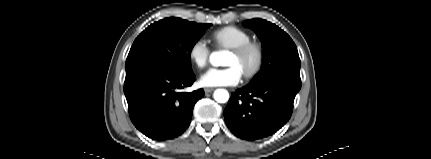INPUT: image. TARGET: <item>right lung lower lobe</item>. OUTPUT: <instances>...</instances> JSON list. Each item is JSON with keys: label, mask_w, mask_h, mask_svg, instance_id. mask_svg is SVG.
<instances>
[{"label": "right lung lower lobe", "mask_w": 431, "mask_h": 159, "mask_svg": "<svg viewBox=\"0 0 431 159\" xmlns=\"http://www.w3.org/2000/svg\"><path fill=\"white\" fill-rule=\"evenodd\" d=\"M195 75L151 64L126 73L124 93L135 127L147 137L165 141L180 136L189 126L193 108L203 89L179 92L191 86Z\"/></svg>", "instance_id": "right-lung-lower-lobe-1"}]
</instances>
